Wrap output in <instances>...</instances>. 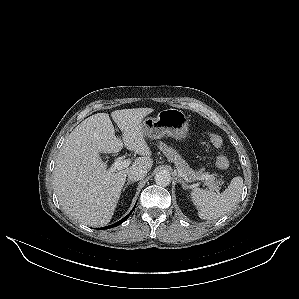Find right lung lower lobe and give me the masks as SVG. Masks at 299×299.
<instances>
[{
    "label": "right lung lower lobe",
    "mask_w": 299,
    "mask_h": 299,
    "mask_svg": "<svg viewBox=\"0 0 299 299\" xmlns=\"http://www.w3.org/2000/svg\"><path fill=\"white\" fill-rule=\"evenodd\" d=\"M135 208V207H134ZM134 208L132 209V211L127 215L125 216L123 219H121L120 221L116 222L115 224L113 225H110V226H107V227H103L102 229H109V228H113V227H116L118 225H120L121 223H123L130 215L131 213L133 212Z\"/></svg>",
    "instance_id": "1"
}]
</instances>
